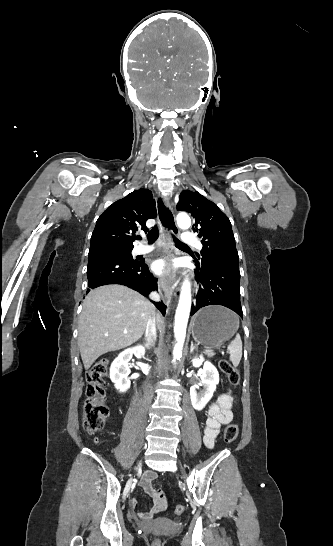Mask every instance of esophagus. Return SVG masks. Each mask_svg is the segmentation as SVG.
I'll list each match as a JSON object with an SVG mask.
<instances>
[{"label":"esophagus","instance_id":"34e87169","mask_svg":"<svg viewBox=\"0 0 333 546\" xmlns=\"http://www.w3.org/2000/svg\"><path fill=\"white\" fill-rule=\"evenodd\" d=\"M156 207H157L159 216L161 218V221L163 222L165 226V232L168 238L169 247L167 250V255L174 257L177 254V250L172 244V237L170 233H172L173 235H178L179 229L175 222L173 209L171 205L169 204L168 200L164 198L162 195L158 196L156 200ZM172 278H173L172 275L167 273L165 277L159 280L160 293L166 301H168L169 297L173 294V289L169 284Z\"/></svg>","mask_w":333,"mask_h":546}]
</instances>
